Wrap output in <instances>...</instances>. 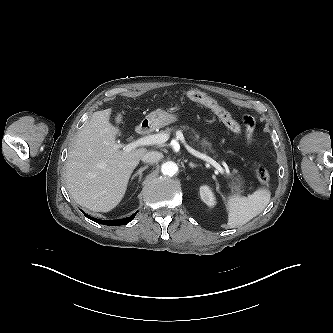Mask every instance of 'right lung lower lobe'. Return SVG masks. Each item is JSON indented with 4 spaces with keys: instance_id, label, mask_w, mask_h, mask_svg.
Returning a JSON list of instances; mask_svg holds the SVG:
<instances>
[{
    "instance_id": "right-lung-lower-lobe-1",
    "label": "right lung lower lobe",
    "mask_w": 333,
    "mask_h": 333,
    "mask_svg": "<svg viewBox=\"0 0 333 333\" xmlns=\"http://www.w3.org/2000/svg\"><path fill=\"white\" fill-rule=\"evenodd\" d=\"M84 213V212H83ZM137 213V212H136ZM135 213V214H136ZM135 214L131 215L130 217H127V218H124V219H117V220H99V219H96L94 217H91L89 215H87L86 213H84V215L91 219L92 221H95L96 223H99V224H104V225H108V226H118V225H124V224H127L129 223L130 221H132L135 217Z\"/></svg>"
}]
</instances>
